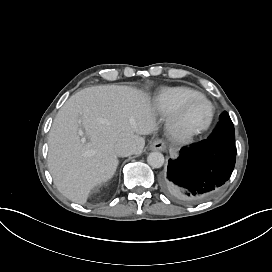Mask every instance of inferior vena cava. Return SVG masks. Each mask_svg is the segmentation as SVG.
Returning <instances> with one entry per match:
<instances>
[{
  "label": "inferior vena cava",
  "instance_id": "602c4592",
  "mask_svg": "<svg viewBox=\"0 0 272 272\" xmlns=\"http://www.w3.org/2000/svg\"><path fill=\"white\" fill-rule=\"evenodd\" d=\"M114 151L119 157H127L137 152V146L131 139L123 138L115 144Z\"/></svg>",
  "mask_w": 272,
  "mask_h": 272
}]
</instances>
